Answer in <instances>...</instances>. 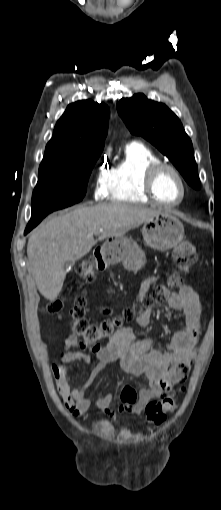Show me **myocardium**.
<instances>
[{
    "mask_svg": "<svg viewBox=\"0 0 221 510\" xmlns=\"http://www.w3.org/2000/svg\"><path fill=\"white\" fill-rule=\"evenodd\" d=\"M163 170L171 171L176 176V178L178 179V181L181 185V189H182L181 198L174 203L163 202L156 195L155 181H156L158 175ZM143 189H144V192L147 195V197L154 204L161 206V207H165V208L179 206L180 204L183 203V201L185 200V198L187 196V184H186V181H185L184 177L182 176L181 172L174 165L167 163V162H163V161L154 162L147 166V168L145 169V172H144V176H143Z\"/></svg>",
    "mask_w": 221,
    "mask_h": 510,
    "instance_id": "myocardium-1",
    "label": "myocardium"
}]
</instances>
